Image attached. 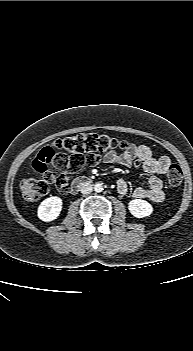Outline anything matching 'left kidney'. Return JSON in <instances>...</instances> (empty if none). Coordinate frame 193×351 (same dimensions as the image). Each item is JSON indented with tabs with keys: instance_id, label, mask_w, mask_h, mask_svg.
Instances as JSON below:
<instances>
[{
	"instance_id": "5707ae66",
	"label": "left kidney",
	"mask_w": 193,
	"mask_h": 351,
	"mask_svg": "<svg viewBox=\"0 0 193 351\" xmlns=\"http://www.w3.org/2000/svg\"><path fill=\"white\" fill-rule=\"evenodd\" d=\"M130 213L136 218H144L152 214L153 207L146 200L134 199L128 203Z\"/></svg>"
}]
</instances>
